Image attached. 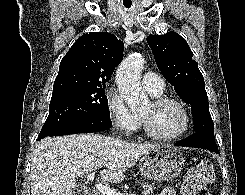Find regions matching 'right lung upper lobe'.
Masks as SVG:
<instances>
[{"label": "right lung upper lobe", "mask_w": 245, "mask_h": 195, "mask_svg": "<svg viewBox=\"0 0 245 195\" xmlns=\"http://www.w3.org/2000/svg\"><path fill=\"white\" fill-rule=\"evenodd\" d=\"M124 44L107 32L81 36L63 57L53 92L85 87H105L123 58Z\"/></svg>", "instance_id": "cb5924a9"}]
</instances>
